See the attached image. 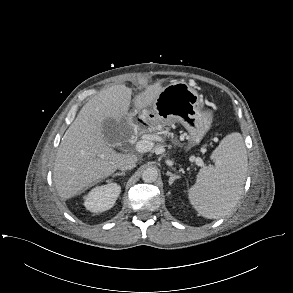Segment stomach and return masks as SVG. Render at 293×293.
Returning a JSON list of instances; mask_svg holds the SVG:
<instances>
[{"instance_id":"0dacf381","label":"stomach","mask_w":293,"mask_h":293,"mask_svg":"<svg viewBox=\"0 0 293 293\" xmlns=\"http://www.w3.org/2000/svg\"><path fill=\"white\" fill-rule=\"evenodd\" d=\"M138 116L155 130L181 123L189 132L190 145L198 144L212 124V113L202 109L198 92L184 81L164 87L155 98L152 109L144 110Z\"/></svg>"}]
</instances>
